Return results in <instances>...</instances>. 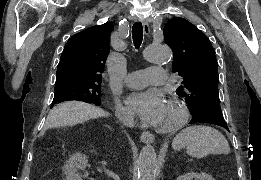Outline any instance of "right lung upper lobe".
I'll list each match as a JSON object with an SVG mask.
<instances>
[{
    "label": "right lung upper lobe",
    "instance_id": "cb5924a9",
    "mask_svg": "<svg viewBox=\"0 0 261 180\" xmlns=\"http://www.w3.org/2000/svg\"><path fill=\"white\" fill-rule=\"evenodd\" d=\"M113 28L107 22L73 35L61 54L56 84L68 81L101 82Z\"/></svg>",
    "mask_w": 261,
    "mask_h": 180
}]
</instances>
